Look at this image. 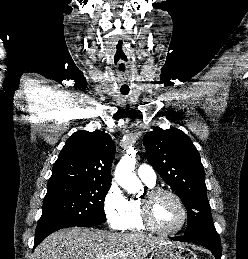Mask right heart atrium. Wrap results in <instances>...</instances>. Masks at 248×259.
<instances>
[{"instance_id": "obj_1", "label": "right heart atrium", "mask_w": 248, "mask_h": 259, "mask_svg": "<svg viewBox=\"0 0 248 259\" xmlns=\"http://www.w3.org/2000/svg\"><path fill=\"white\" fill-rule=\"evenodd\" d=\"M104 212L111 228L123 230L126 225L129 200L117 184L113 183L104 197Z\"/></svg>"}]
</instances>
